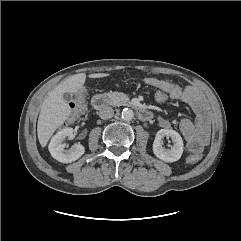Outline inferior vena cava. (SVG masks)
<instances>
[{
  "instance_id": "obj_1",
  "label": "inferior vena cava",
  "mask_w": 241,
  "mask_h": 241,
  "mask_svg": "<svg viewBox=\"0 0 241 241\" xmlns=\"http://www.w3.org/2000/svg\"><path fill=\"white\" fill-rule=\"evenodd\" d=\"M98 114L102 119H109L113 116L114 110L110 106H105L99 110Z\"/></svg>"
}]
</instances>
